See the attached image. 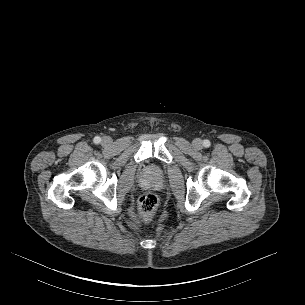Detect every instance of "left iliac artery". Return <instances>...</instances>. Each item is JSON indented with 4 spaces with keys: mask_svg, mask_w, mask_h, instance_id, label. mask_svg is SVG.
Wrapping results in <instances>:
<instances>
[{
    "mask_svg": "<svg viewBox=\"0 0 305 305\" xmlns=\"http://www.w3.org/2000/svg\"><path fill=\"white\" fill-rule=\"evenodd\" d=\"M211 145L210 141L209 140H204L203 141V146L208 148L209 146Z\"/></svg>",
    "mask_w": 305,
    "mask_h": 305,
    "instance_id": "left-iliac-artery-1",
    "label": "left iliac artery"
}]
</instances>
